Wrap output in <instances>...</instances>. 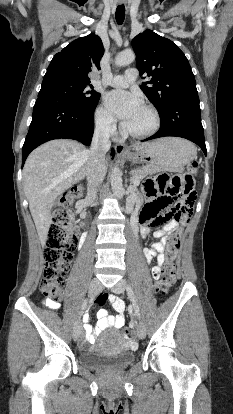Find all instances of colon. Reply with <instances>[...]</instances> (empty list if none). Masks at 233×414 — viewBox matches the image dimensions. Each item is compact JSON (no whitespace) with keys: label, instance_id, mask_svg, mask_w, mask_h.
Masks as SVG:
<instances>
[{"label":"colon","instance_id":"obj_1","mask_svg":"<svg viewBox=\"0 0 233 414\" xmlns=\"http://www.w3.org/2000/svg\"><path fill=\"white\" fill-rule=\"evenodd\" d=\"M198 168V162L193 161L189 164L188 172L184 175L161 173L147 179L144 184L145 192L155 197L150 205V213L153 216H158L161 211L170 209L169 213L180 225L187 224L192 216L196 200L193 176L196 175ZM81 194L82 188L80 186L73 187L58 201L53 210V219L45 243V267L40 291L44 296L54 301L63 296L65 276L72 259V251L76 245V238L69 231L72 214L68 206ZM179 244V232L171 234L165 240L163 254L166 261L155 285V291L158 294L165 295L176 281L174 259ZM123 332L128 335L130 329L125 327Z\"/></svg>","mask_w":233,"mask_h":414}]
</instances>
